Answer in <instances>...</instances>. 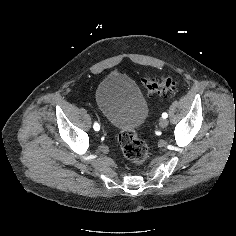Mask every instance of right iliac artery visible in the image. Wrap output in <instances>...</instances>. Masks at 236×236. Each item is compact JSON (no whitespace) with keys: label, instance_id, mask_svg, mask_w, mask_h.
I'll use <instances>...</instances> for the list:
<instances>
[{"label":"right iliac artery","instance_id":"obj_1","mask_svg":"<svg viewBox=\"0 0 236 236\" xmlns=\"http://www.w3.org/2000/svg\"><path fill=\"white\" fill-rule=\"evenodd\" d=\"M93 128H94L95 131H99L100 130V125L95 122Z\"/></svg>","mask_w":236,"mask_h":236}]
</instances>
